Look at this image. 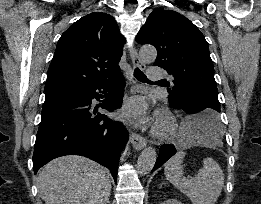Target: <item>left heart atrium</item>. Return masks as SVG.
Wrapping results in <instances>:
<instances>
[{"mask_svg":"<svg viewBox=\"0 0 261 204\" xmlns=\"http://www.w3.org/2000/svg\"><path fill=\"white\" fill-rule=\"evenodd\" d=\"M123 116L136 125H144L150 120L147 101L140 96L131 98L123 108Z\"/></svg>","mask_w":261,"mask_h":204,"instance_id":"left-heart-atrium-1","label":"left heart atrium"}]
</instances>
